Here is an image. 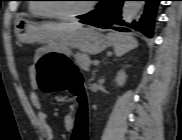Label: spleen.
Returning a JSON list of instances; mask_svg holds the SVG:
<instances>
[{"label": "spleen", "instance_id": "spleen-1", "mask_svg": "<svg viewBox=\"0 0 182 140\" xmlns=\"http://www.w3.org/2000/svg\"><path fill=\"white\" fill-rule=\"evenodd\" d=\"M108 38L112 42L116 56L121 57L138 46L137 40L129 34L111 32Z\"/></svg>", "mask_w": 182, "mask_h": 140}]
</instances>
